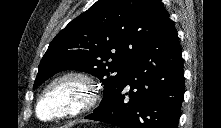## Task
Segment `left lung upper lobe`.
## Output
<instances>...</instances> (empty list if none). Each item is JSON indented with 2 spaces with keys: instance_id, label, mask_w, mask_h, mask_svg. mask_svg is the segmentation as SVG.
I'll list each match as a JSON object with an SVG mask.
<instances>
[{
  "instance_id": "1",
  "label": "left lung upper lobe",
  "mask_w": 221,
  "mask_h": 128,
  "mask_svg": "<svg viewBox=\"0 0 221 128\" xmlns=\"http://www.w3.org/2000/svg\"><path fill=\"white\" fill-rule=\"evenodd\" d=\"M168 17L160 0H98L52 40L33 88L63 70L88 72L104 86L97 109L101 108L124 83L136 54Z\"/></svg>"
}]
</instances>
